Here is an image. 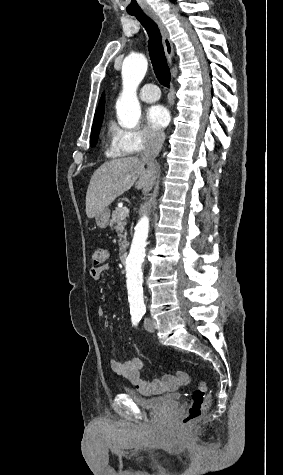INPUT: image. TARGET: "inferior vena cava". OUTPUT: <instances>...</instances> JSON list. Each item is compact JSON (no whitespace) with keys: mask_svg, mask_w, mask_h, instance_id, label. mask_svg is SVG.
<instances>
[{"mask_svg":"<svg viewBox=\"0 0 283 475\" xmlns=\"http://www.w3.org/2000/svg\"><path fill=\"white\" fill-rule=\"evenodd\" d=\"M165 134L162 130L157 132H147L145 150L141 154V160L147 164V172L153 180H155V174L159 170V166L155 160L164 144Z\"/></svg>","mask_w":283,"mask_h":475,"instance_id":"1","label":"inferior vena cava"}]
</instances>
